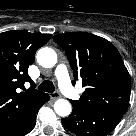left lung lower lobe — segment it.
<instances>
[{
    "label": "left lung lower lobe",
    "instance_id": "left-lung-lower-lobe-1",
    "mask_svg": "<svg viewBox=\"0 0 136 136\" xmlns=\"http://www.w3.org/2000/svg\"><path fill=\"white\" fill-rule=\"evenodd\" d=\"M121 115L73 105L72 114L62 119L69 131L77 136H104L119 123Z\"/></svg>",
    "mask_w": 136,
    "mask_h": 136
}]
</instances>
